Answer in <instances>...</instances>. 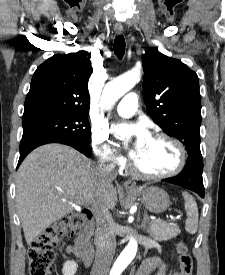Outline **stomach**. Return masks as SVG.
Wrapping results in <instances>:
<instances>
[{
  "mask_svg": "<svg viewBox=\"0 0 225 275\" xmlns=\"http://www.w3.org/2000/svg\"><path fill=\"white\" fill-rule=\"evenodd\" d=\"M135 193L141 195L145 208L152 213H162L170 206L168 194L159 187L139 188Z\"/></svg>",
  "mask_w": 225,
  "mask_h": 275,
  "instance_id": "stomach-1",
  "label": "stomach"
}]
</instances>
